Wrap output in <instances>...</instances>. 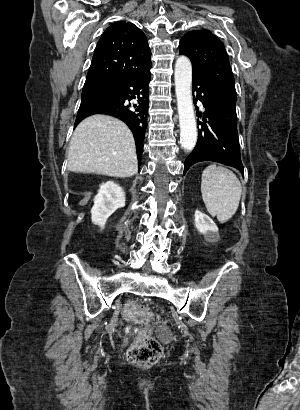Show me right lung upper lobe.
Masks as SVG:
<instances>
[{
  "instance_id": "1",
  "label": "right lung upper lobe",
  "mask_w": 300,
  "mask_h": 410,
  "mask_svg": "<svg viewBox=\"0 0 300 410\" xmlns=\"http://www.w3.org/2000/svg\"><path fill=\"white\" fill-rule=\"evenodd\" d=\"M150 57L145 34L130 22L118 21L97 43L86 82L107 85L124 75L142 73L152 66Z\"/></svg>"
}]
</instances>
